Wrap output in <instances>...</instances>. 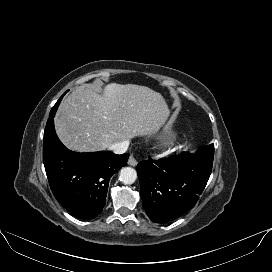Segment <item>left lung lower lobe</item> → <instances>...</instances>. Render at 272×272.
Here are the masks:
<instances>
[{
	"label": "left lung lower lobe",
	"instance_id": "1",
	"mask_svg": "<svg viewBox=\"0 0 272 272\" xmlns=\"http://www.w3.org/2000/svg\"><path fill=\"white\" fill-rule=\"evenodd\" d=\"M214 145L163 161L137 165L143 207L155 223H167L191 210L204 190L213 165Z\"/></svg>",
	"mask_w": 272,
	"mask_h": 272
}]
</instances>
